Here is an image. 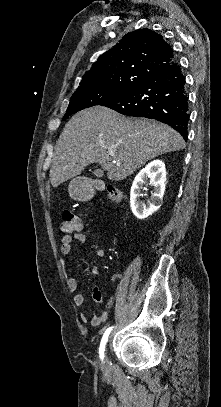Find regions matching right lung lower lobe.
I'll return each mask as SVG.
<instances>
[{"label":"right lung lower lobe","instance_id":"obj_1","mask_svg":"<svg viewBox=\"0 0 221 407\" xmlns=\"http://www.w3.org/2000/svg\"><path fill=\"white\" fill-rule=\"evenodd\" d=\"M103 106L123 115L155 119L168 124L187 140L189 105L185 77L173 60L126 94Z\"/></svg>","mask_w":221,"mask_h":407}]
</instances>
